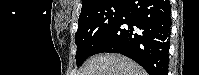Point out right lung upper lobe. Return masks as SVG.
Instances as JSON below:
<instances>
[{"label": "right lung upper lobe", "instance_id": "obj_1", "mask_svg": "<svg viewBox=\"0 0 199 75\" xmlns=\"http://www.w3.org/2000/svg\"><path fill=\"white\" fill-rule=\"evenodd\" d=\"M101 1H103V0H82V9L81 10H84L91 6H94L98 3H100Z\"/></svg>", "mask_w": 199, "mask_h": 75}]
</instances>
